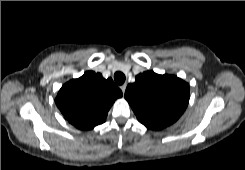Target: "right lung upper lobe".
I'll list each match as a JSON object with an SVG mask.
<instances>
[{
    "mask_svg": "<svg viewBox=\"0 0 245 170\" xmlns=\"http://www.w3.org/2000/svg\"><path fill=\"white\" fill-rule=\"evenodd\" d=\"M121 90L111 78L87 71L78 79L62 86L55 99L57 107L69 123L82 130H89L105 122L108 111Z\"/></svg>",
    "mask_w": 245,
    "mask_h": 170,
    "instance_id": "right-lung-upper-lobe-1",
    "label": "right lung upper lobe"
}]
</instances>
